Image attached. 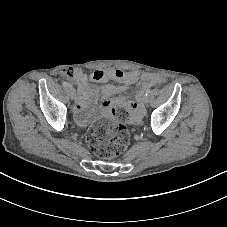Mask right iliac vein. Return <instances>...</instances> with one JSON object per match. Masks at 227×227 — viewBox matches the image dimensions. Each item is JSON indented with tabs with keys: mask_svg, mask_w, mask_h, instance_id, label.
<instances>
[{
	"mask_svg": "<svg viewBox=\"0 0 227 227\" xmlns=\"http://www.w3.org/2000/svg\"><path fill=\"white\" fill-rule=\"evenodd\" d=\"M70 97H71V99L75 98V88H73V87L70 88Z\"/></svg>",
	"mask_w": 227,
	"mask_h": 227,
	"instance_id": "63e3f726",
	"label": "right iliac vein"
}]
</instances>
